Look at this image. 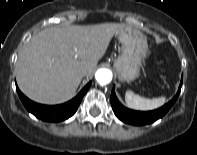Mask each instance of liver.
Returning a JSON list of instances; mask_svg holds the SVG:
<instances>
[{"label": "liver", "mask_w": 197, "mask_h": 155, "mask_svg": "<svg viewBox=\"0 0 197 155\" xmlns=\"http://www.w3.org/2000/svg\"><path fill=\"white\" fill-rule=\"evenodd\" d=\"M124 28V24L106 23L40 31L19 54L16 77L20 90L42 104L68 101L81 83L80 71L91 76L112 37Z\"/></svg>", "instance_id": "obj_1"}]
</instances>
